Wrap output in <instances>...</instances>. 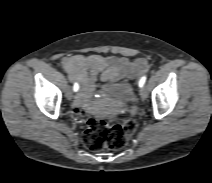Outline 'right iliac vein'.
<instances>
[{
  "label": "right iliac vein",
  "instance_id": "1",
  "mask_svg": "<svg viewBox=\"0 0 212 183\" xmlns=\"http://www.w3.org/2000/svg\"><path fill=\"white\" fill-rule=\"evenodd\" d=\"M66 97L68 100H71L73 98V92L70 88L66 92Z\"/></svg>",
  "mask_w": 212,
  "mask_h": 183
}]
</instances>
